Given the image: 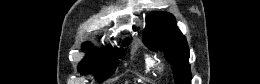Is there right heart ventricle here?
<instances>
[{
    "label": "right heart ventricle",
    "mask_w": 260,
    "mask_h": 84,
    "mask_svg": "<svg viewBox=\"0 0 260 84\" xmlns=\"http://www.w3.org/2000/svg\"><path fill=\"white\" fill-rule=\"evenodd\" d=\"M144 66L147 71L156 67V62L154 58L148 54L144 55Z\"/></svg>",
    "instance_id": "1"
}]
</instances>
